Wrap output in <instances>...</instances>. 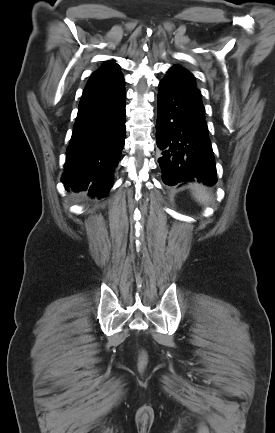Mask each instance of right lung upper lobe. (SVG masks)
I'll return each instance as SVG.
<instances>
[{
    "instance_id": "cb5924a9",
    "label": "right lung upper lobe",
    "mask_w": 275,
    "mask_h": 433,
    "mask_svg": "<svg viewBox=\"0 0 275 433\" xmlns=\"http://www.w3.org/2000/svg\"><path fill=\"white\" fill-rule=\"evenodd\" d=\"M122 83H124L123 76L118 70L117 64L113 61H106L101 68L91 75L83 93L114 87Z\"/></svg>"
}]
</instances>
